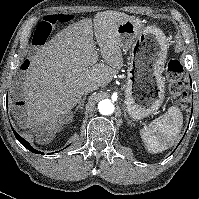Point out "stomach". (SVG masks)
<instances>
[{
	"mask_svg": "<svg viewBox=\"0 0 199 199\" xmlns=\"http://www.w3.org/2000/svg\"><path fill=\"white\" fill-rule=\"evenodd\" d=\"M121 48L130 49L125 100L129 115L139 120L157 112L165 97L162 76L168 42L156 26L144 27L138 18H126L116 27Z\"/></svg>",
	"mask_w": 199,
	"mask_h": 199,
	"instance_id": "1",
	"label": "stomach"
}]
</instances>
